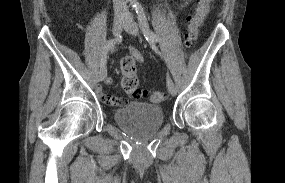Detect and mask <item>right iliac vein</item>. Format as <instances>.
I'll return each instance as SVG.
<instances>
[{
	"mask_svg": "<svg viewBox=\"0 0 285 183\" xmlns=\"http://www.w3.org/2000/svg\"><path fill=\"white\" fill-rule=\"evenodd\" d=\"M124 23H125L124 18H116L114 20L113 26H112V32L114 36H118L120 34ZM106 74H107L106 67L102 66L97 73L98 81H103L106 77Z\"/></svg>",
	"mask_w": 285,
	"mask_h": 183,
	"instance_id": "63e3f726",
	"label": "right iliac vein"
}]
</instances>
